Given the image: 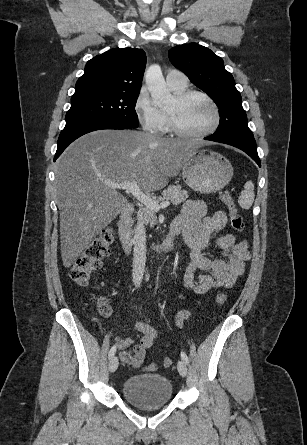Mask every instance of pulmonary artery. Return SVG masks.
Masks as SVG:
<instances>
[{
  "mask_svg": "<svg viewBox=\"0 0 307 445\" xmlns=\"http://www.w3.org/2000/svg\"><path fill=\"white\" fill-rule=\"evenodd\" d=\"M182 77L181 69H168L166 80L170 87L182 88L187 86V79H182Z\"/></svg>",
  "mask_w": 307,
  "mask_h": 445,
  "instance_id": "pulmonary-artery-1",
  "label": "pulmonary artery"
}]
</instances>
